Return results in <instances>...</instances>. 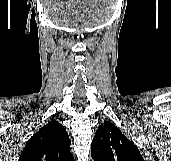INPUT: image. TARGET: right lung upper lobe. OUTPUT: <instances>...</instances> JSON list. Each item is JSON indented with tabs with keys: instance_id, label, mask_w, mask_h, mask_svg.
I'll use <instances>...</instances> for the list:
<instances>
[{
	"instance_id": "right-lung-upper-lobe-1",
	"label": "right lung upper lobe",
	"mask_w": 171,
	"mask_h": 161,
	"mask_svg": "<svg viewBox=\"0 0 171 161\" xmlns=\"http://www.w3.org/2000/svg\"><path fill=\"white\" fill-rule=\"evenodd\" d=\"M70 144L65 128L52 120L28 140L18 161H74Z\"/></svg>"
}]
</instances>
